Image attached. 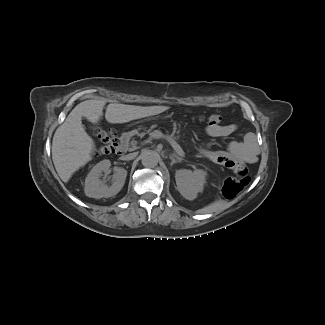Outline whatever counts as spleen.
<instances>
[{
	"instance_id": "3e777b00",
	"label": "spleen",
	"mask_w": 325,
	"mask_h": 325,
	"mask_svg": "<svg viewBox=\"0 0 325 325\" xmlns=\"http://www.w3.org/2000/svg\"><path fill=\"white\" fill-rule=\"evenodd\" d=\"M225 206H226V203L223 200L217 199L214 202H212L211 204L199 209L197 211V213L206 214V213L221 212L222 210L225 209Z\"/></svg>"
}]
</instances>
